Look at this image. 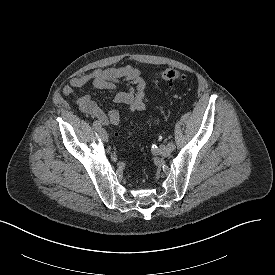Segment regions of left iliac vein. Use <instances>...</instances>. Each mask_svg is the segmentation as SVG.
Segmentation results:
<instances>
[{
	"mask_svg": "<svg viewBox=\"0 0 275 275\" xmlns=\"http://www.w3.org/2000/svg\"><path fill=\"white\" fill-rule=\"evenodd\" d=\"M159 151L162 156L167 157L172 152V149L168 145H161Z\"/></svg>",
	"mask_w": 275,
	"mask_h": 275,
	"instance_id": "left-iliac-vein-1",
	"label": "left iliac vein"
}]
</instances>
